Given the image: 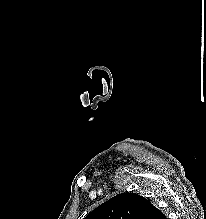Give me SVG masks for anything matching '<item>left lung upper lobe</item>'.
<instances>
[{
    "mask_svg": "<svg viewBox=\"0 0 206 219\" xmlns=\"http://www.w3.org/2000/svg\"><path fill=\"white\" fill-rule=\"evenodd\" d=\"M154 207L144 197L125 192L99 205L85 219H151Z\"/></svg>",
    "mask_w": 206,
    "mask_h": 219,
    "instance_id": "obj_1",
    "label": "left lung upper lobe"
}]
</instances>
